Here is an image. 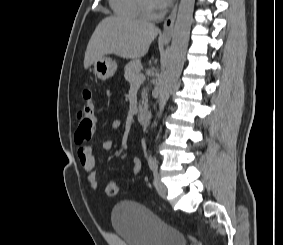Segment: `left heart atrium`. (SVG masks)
Returning <instances> with one entry per match:
<instances>
[{
	"mask_svg": "<svg viewBox=\"0 0 283 245\" xmlns=\"http://www.w3.org/2000/svg\"><path fill=\"white\" fill-rule=\"evenodd\" d=\"M171 0H154L155 4L159 7V8H163L165 6H167L170 3Z\"/></svg>",
	"mask_w": 283,
	"mask_h": 245,
	"instance_id": "obj_1",
	"label": "left heart atrium"
}]
</instances>
